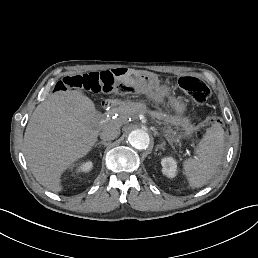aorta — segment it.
<instances>
[{"instance_id":"aorta-1","label":"aorta","mask_w":258,"mask_h":258,"mask_svg":"<svg viewBox=\"0 0 258 258\" xmlns=\"http://www.w3.org/2000/svg\"><path fill=\"white\" fill-rule=\"evenodd\" d=\"M129 143L138 150H145L150 143L149 134L143 129H135L128 136Z\"/></svg>"}]
</instances>
